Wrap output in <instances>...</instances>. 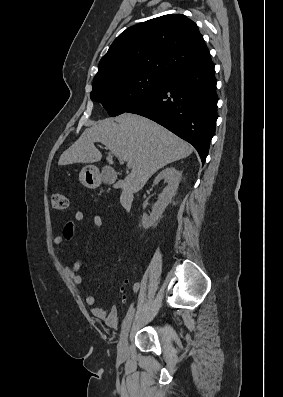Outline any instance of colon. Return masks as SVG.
Segmentation results:
<instances>
[{"mask_svg": "<svg viewBox=\"0 0 283 397\" xmlns=\"http://www.w3.org/2000/svg\"><path fill=\"white\" fill-rule=\"evenodd\" d=\"M51 203L56 210H64L68 207V199L61 193H54L51 197Z\"/></svg>", "mask_w": 283, "mask_h": 397, "instance_id": "5ec220e1", "label": "colon"}]
</instances>
